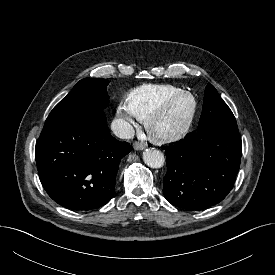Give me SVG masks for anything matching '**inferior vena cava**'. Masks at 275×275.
Wrapping results in <instances>:
<instances>
[{"mask_svg": "<svg viewBox=\"0 0 275 275\" xmlns=\"http://www.w3.org/2000/svg\"><path fill=\"white\" fill-rule=\"evenodd\" d=\"M113 133L121 139H131L135 132L133 127L123 119H114L111 124Z\"/></svg>", "mask_w": 275, "mask_h": 275, "instance_id": "inferior-vena-cava-1", "label": "inferior vena cava"}]
</instances>
